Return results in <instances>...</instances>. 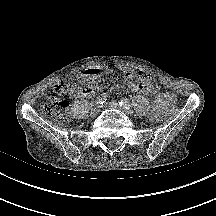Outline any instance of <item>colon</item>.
<instances>
[{
  "instance_id": "obj_1",
  "label": "colon",
  "mask_w": 216,
  "mask_h": 216,
  "mask_svg": "<svg viewBox=\"0 0 216 216\" xmlns=\"http://www.w3.org/2000/svg\"><path fill=\"white\" fill-rule=\"evenodd\" d=\"M78 90V86L64 81L57 82L48 92V100L43 105V111L60 125H67L70 122L68 114L69 99ZM170 111L173 114L179 112L178 100L172 95Z\"/></svg>"
}]
</instances>
